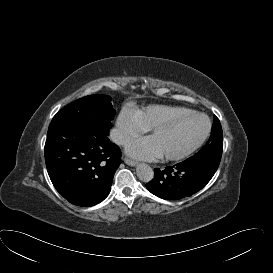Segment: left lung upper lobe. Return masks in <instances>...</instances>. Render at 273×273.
<instances>
[{
  "mask_svg": "<svg viewBox=\"0 0 273 273\" xmlns=\"http://www.w3.org/2000/svg\"><path fill=\"white\" fill-rule=\"evenodd\" d=\"M223 150V134L219 119L214 115L211 136L202 149L187 159L191 162H199L217 169Z\"/></svg>",
  "mask_w": 273,
  "mask_h": 273,
  "instance_id": "left-lung-upper-lobe-1",
  "label": "left lung upper lobe"
}]
</instances>
